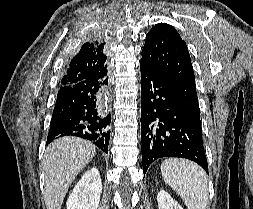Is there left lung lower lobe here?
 I'll return each mask as SVG.
<instances>
[{
	"instance_id": "obj_1",
	"label": "left lung lower lobe",
	"mask_w": 253,
	"mask_h": 209,
	"mask_svg": "<svg viewBox=\"0 0 253 209\" xmlns=\"http://www.w3.org/2000/svg\"><path fill=\"white\" fill-rule=\"evenodd\" d=\"M141 151L145 175L161 157L192 160L208 173L201 123L182 106L169 83L140 63Z\"/></svg>"
}]
</instances>
